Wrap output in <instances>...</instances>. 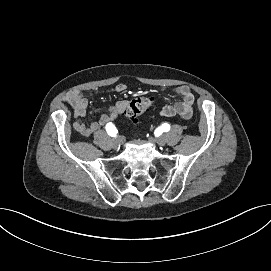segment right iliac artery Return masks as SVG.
I'll return each instance as SVG.
<instances>
[{
    "instance_id": "obj_1",
    "label": "right iliac artery",
    "mask_w": 271,
    "mask_h": 271,
    "mask_svg": "<svg viewBox=\"0 0 271 271\" xmlns=\"http://www.w3.org/2000/svg\"><path fill=\"white\" fill-rule=\"evenodd\" d=\"M105 128L108 135H110L111 137H115L116 134L118 133V130L116 129L115 125L111 122L107 123Z\"/></svg>"
}]
</instances>
